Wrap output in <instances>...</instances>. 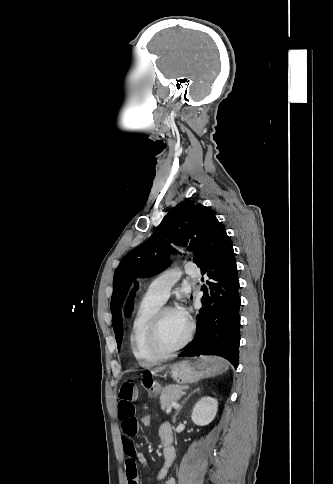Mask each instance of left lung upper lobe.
I'll list each match as a JSON object with an SVG mask.
<instances>
[{"instance_id":"5c2ea615","label":"left lung upper lobe","mask_w":333,"mask_h":484,"mask_svg":"<svg viewBox=\"0 0 333 484\" xmlns=\"http://www.w3.org/2000/svg\"><path fill=\"white\" fill-rule=\"evenodd\" d=\"M215 213L201 204L187 200L171 209L153 235L143 244L129 252L115 270L111 311L118 348L123 335L120 308L135 278L150 277L169 265V243L189 244V249L201 253L208 228Z\"/></svg>"}]
</instances>
